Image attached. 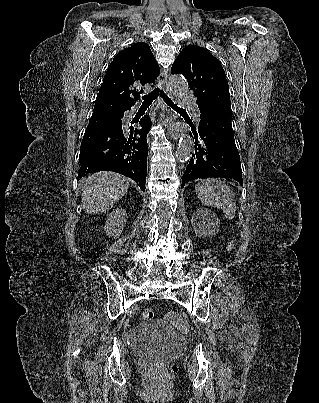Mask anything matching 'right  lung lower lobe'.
Here are the masks:
<instances>
[{
  "label": "right lung lower lobe",
  "instance_id": "1",
  "mask_svg": "<svg viewBox=\"0 0 319 403\" xmlns=\"http://www.w3.org/2000/svg\"><path fill=\"white\" fill-rule=\"evenodd\" d=\"M130 110V109H127ZM124 111L92 115L86 128L79 156L78 177L99 171H114L133 179L145 190L151 127L148 115L127 131L122 127Z\"/></svg>",
  "mask_w": 319,
  "mask_h": 403
}]
</instances>
